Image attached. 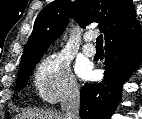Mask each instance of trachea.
I'll use <instances>...</instances> for the list:
<instances>
[{
  "instance_id": "obj_1",
  "label": "trachea",
  "mask_w": 142,
  "mask_h": 119,
  "mask_svg": "<svg viewBox=\"0 0 142 119\" xmlns=\"http://www.w3.org/2000/svg\"><path fill=\"white\" fill-rule=\"evenodd\" d=\"M96 47H103V35H99L96 39Z\"/></svg>"
}]
</instances>
